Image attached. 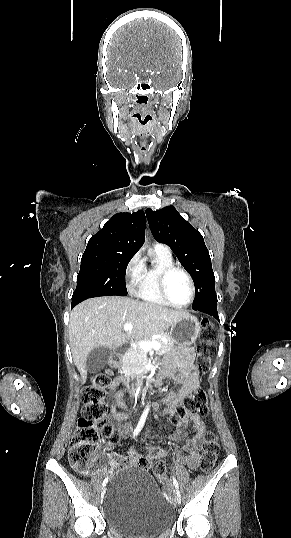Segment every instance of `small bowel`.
<instances>
[{
	"label": "small bowel",
	"instance_id": "small-bowel-1",
	"mask_svg": "<svg viewBox=\"0 0 291 538\" xmlns=\"http://www.w3.org/2000/svg\"><path fill=\"white\" fill-rule=\"evenodd\" d=\"M193 352L190 349H186L175 354H171L166 358L165 367L166 375L180 383V388L177 391L168 393L162 400L164 409L162 414H173L178 406L182 403L185 397L192 394L199 387L198 375L192 364ZM125 380L124 376L115 378L109 387L112 392V403L110 407V413L112 419L117 423V428L122 435H127L130 432V428L127 425L121 423L127 420L128 415L120 411V409H126L124 402V392L122 390L116 391L121 383ZM155 385H160V381H155ZM188 422L192 423L194 430V436L187 438L181 449L187 452L185 458L186 465L190 469H196L200 463V449L204 441L205 425L199 415H187L181 420V425H185ZM183 433L179 432L175 437L171 439L173 445L177 446ZM165 452L158 451L154 448L148 449L147 459H159L165 457ZM112 465L119 464L122 466L128 464H136L141 458V455L136 449H132L127 457L119 455L104 454Z\"/></svg>",
	"mask_w": 291,
	"mask_h": 538
}]
</instances>
